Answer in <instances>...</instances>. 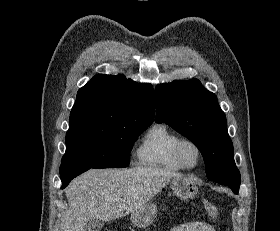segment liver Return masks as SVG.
Wrapping results in <instances>:
<instances>
[{
    "mask_svg": "<svg viewBox=\"0 0 280 231\" xmlns=\"http://www.w3.org/2000/svg\"><path fill=\"white\" fill-rule=\"evenodd\" d=\"M181 173L162 167L89 169L66 187L69 207L60 231H84L90 219L111 221L141 209L166 183Z\"/></svg>",
    "mask_w": 280,
    "mask_h": 231,
    "instance_id": "1",
    "label": "liver"
}]
</instances>
